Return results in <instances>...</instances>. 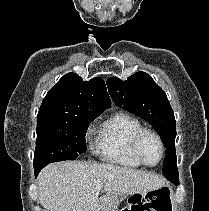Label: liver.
<instances>
[{
    "label": "liver",
    "instance_id": "obj_1",
    "mask_svg": "<svg viewBox=\"0 0 209 211\" xmlns=\"http://www.w3.org/2000/svg\"><path fill=\"white\" fill-rule=\"evenodd\" d=\"M97 181L102 187L97 188ZM164 185L161 176L112 164L52 163L38 176L39 203L46 211H104L99 191L114 196L147 193Z\"/></svg>",
    "mask_w": 209,
    "mask_h": 211
}]
</instances>
